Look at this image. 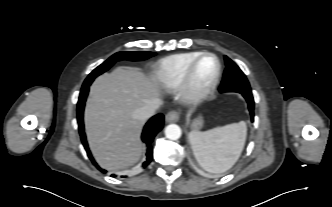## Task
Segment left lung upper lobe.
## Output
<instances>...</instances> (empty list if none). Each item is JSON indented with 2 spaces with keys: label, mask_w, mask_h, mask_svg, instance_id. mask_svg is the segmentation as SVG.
Wrapping results in <instances>:
<instances>
[{
  "label": "left lung upper lobe",
  "mask_w": 332,
  "mask_h": 207,
  "mask_svg": "<svg viewBox=\"0 0 332 207\" xmlns=\"http://www.w3.org/2000/svg\"><path fill=\"white\" fill-rule=\"evenodd\" d=\"M225 58L226 69L219 88L220 92H251L250 84L241 69L227 56Z\"/></svg>",
  "instance_id": "left-lung-upper-lobe-1"
}]
</instances>
